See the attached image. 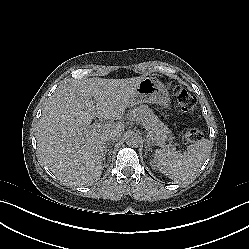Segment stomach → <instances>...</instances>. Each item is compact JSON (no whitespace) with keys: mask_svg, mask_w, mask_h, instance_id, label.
Here are the masks:
<instances>
[{"mask_svg":"<svg viewBox=\"0 0 249 249\" xmlns=\"http://www.w3.org/2000/svg\"><path fill=\"white\" fill-rule=\"evenodd\" d=\"M169 101L167 89L156 78H144L134 88L132 104L147 103L167 108Z\"/></svg>","mask_w":249,"mask_h":249,"instance_id":"stomach-1","label":"stomach"}]
</instances>
